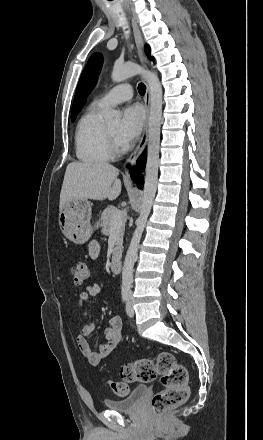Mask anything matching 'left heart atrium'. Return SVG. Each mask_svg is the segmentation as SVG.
<instances>
[{"label": "left heart atrium", "mask_w": 263, "mask_h": 440, "mask_svg": "<svg viewBox=\"0 0 263 440\" xmlns=\"http://www.w3.org/2000/svg\"><path fill=\"white\" fill-rule=\"evenodd\" d=\"M145 122L143 109L133 105L123 111L121 122L117 130V140L121 145H129L135 141L141 133Z\"/></svg>", "instance_id": "1"}]
</instances>
